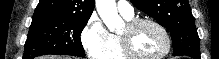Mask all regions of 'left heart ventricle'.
<instances>
[{"mask_svg":"<svg viewBox=\"0 0 219 59\" xmlns=\"http://www.w3.org/2000/svg\"><path fill=\"white\" fill-rule=\"evenodd\" d=\"M120 35H128L132 48L141 56H155L163 52L166 46L162 33L151 24H142L131 32L125 26Z\"/></svg>","mask_w":219,"mask_h":59,"instance_id":"1","label":"left heart ventricle"}]
</instances>
